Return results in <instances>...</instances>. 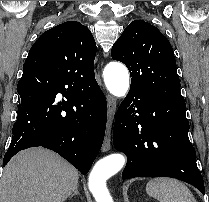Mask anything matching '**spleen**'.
I'll return each instance as SVG.
<instances>
[{"mask_svg": "<svg viewBox=\"0 0 209 202\" xmlns=\"http://www.w3.org/2000/svg\"><path fill=\"white\" fill-rule=\"evenodd\" d=\"M146 192L159 202H196L188 187L176 179H152L146 185Z\"/></svg>", "mask_w": 209, "mask_h": 202, "instance_id": "1", "label": "spleen"}]
</instances>
